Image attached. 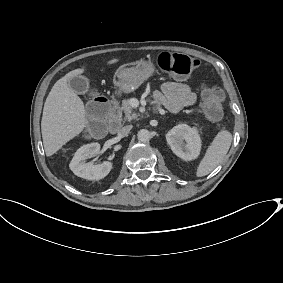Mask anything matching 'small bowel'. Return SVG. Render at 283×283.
<instances>
[{
    "mask_svg": "<svg viewBox=\"0 0 283 283\" xmlns=\"http://www.w3.org/2000/svg\"><path fill=\"white\" fill-rule=\"evenodd\" d=\"M154 99L158 106L165 107L171 112H178L195 104L197 96L185 83L166 82L160 91L155 92Z\"/></svg>",
    "mask_w": 283,
    "mask_h": 283,
    "instance_id": "c3829d8e",
    "label": "small bowel"
}]
</instances>
